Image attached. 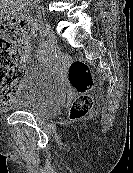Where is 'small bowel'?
<instances>
[{
  "label": "small bowel",
  "instance_id": "obj_1",
  "mask_svg": "<svg viewBox=\"0 0 133 173\" xmlns=\"http://www.w3.org/2000/svg\"><path fill=\"white\" fill-rule=\"evenodd\" d=\"M6 5L8 6V2ZM28 22L30 24V31L28 32L30 36H25L21 40L22 50L24 52H27L30 49V38L36 35V32L39 28V25L35 20L29 19ZM40 58L41 60H44V61H47V60L61 61L62 60V57L57 52H50L48 50L47 51L43 50L40 54Z\"/></svg>",
  "mask_w": 133,
  "mask_h": 173
}]
</instances>
